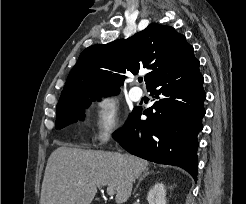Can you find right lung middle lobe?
I'll use <instances>...</instances> for the list:
<instances>
[{
    "label": "right lung middle lobe",
    "instance_id": "1",
    "mask_svg": "<svg viewBox=\"0 0 246 204\" xmlns=\"http://www.w3.org/2000/svg\"><path fill=\"white\" fill-rule=\"evenodd\" d=\"M89 96H91L92 101L95 100V94L69 97L60 100L57 104L56 129L63 128L78 120H83L84 109L91 104Z\"/></svg>",
    "mask_w": 246,
    "mask_h": 204
}]
</instances>
